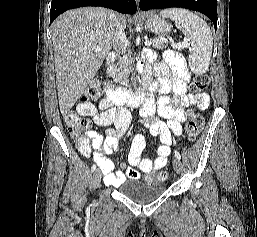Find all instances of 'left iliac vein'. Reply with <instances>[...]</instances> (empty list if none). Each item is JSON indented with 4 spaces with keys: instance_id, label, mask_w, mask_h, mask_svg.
Listing matches in <instances>:
<instances>
[{
    "instance_id": "obj_1",
    "label": "left iliac vein",
    "mask_w": 257,
    "mask_h": 237,
    "mask_svg": "<svg viewBox=\"0 0 257 237\" xmlns=\"http://www.w3.org/2000/svg\"><path fill=\"white\" fill-rule=\"evenodd\" d=\"M173 165L177 173H181L183 171V164L179 159H175L173 161Z\"/></svg>"
}]
</instances>
